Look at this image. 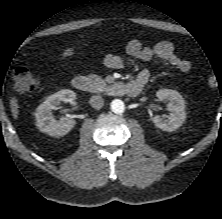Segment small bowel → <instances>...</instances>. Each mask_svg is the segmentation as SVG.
<instances>
[{
	"label": "small bowel",
	"instance_id": "small-bowel-1",
	"mask_svg": "<svg viewBox=\"0 0 222 219\" xmlns=\"http://www.w3.org/2000/svg\"><path fill=\"white\" fill-rule=\"evenodd\" d=\"M127 52L144 61L159 59L164 63L176 68L180 72L186 73L191 69L189 60L181 58L175 51L173 44L169 41H160L152 46H144L138 39H132L127 44ZM74 52V48H68L62 53V58L70 57ZM104 64L112 69H122L124 62L122 58L115 54H107L104 58ZM147 74L141 73L135 82L144 85L147 82Z\"/></svg>",
	"mask_w": 222,
	"mask_h": 219
}]
</instances>
